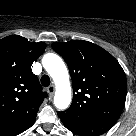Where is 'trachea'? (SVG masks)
I'll return each instance as SVG.
<instances>
[{
    "label": "trachea",
    "instance_id": "3493384b",
    "mask_svg": "<svg viewBox=\"0 0 136 136\" xmlns=\"http://www.w3.org/2000/svg\"><path fill=\"white\" fill-rule=\"evenodd\" d=\"M51 81H50V78L48 75H43L41 77V84L44 86V87H48L50 85Z\"/></svg>",
    "mask_w": 136,
    "mask_h": 136
}]
</instances>
